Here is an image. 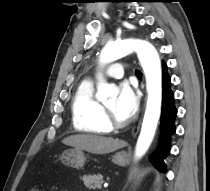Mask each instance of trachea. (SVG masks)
Segmentation results:
<instances>
[{"instance_id":"1","label":"trachea","mask_w":210,"mask_h":191,"mask_svg":"<svg viewBox=\"0 0 210 191\" xmlns=\"http://www.w3.org/2000/svg\"><path fill=\"white\" fill-rule=\"evenodd\" d=\"M141 75H142L141 71L137 70V71H136V76H137V77H141Z\"/></svg>"}]
</instances>
